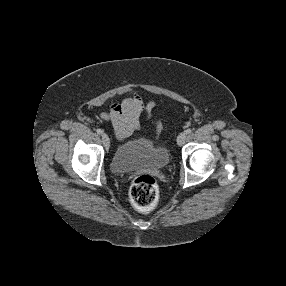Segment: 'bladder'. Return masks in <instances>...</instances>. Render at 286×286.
Masks as SVG:
<instances>
[{
  "mask_svg": "<svg viewBox=\"0 0 286 286\" xmlns=\"http://www.w3.org/2000/svg\"><path fill=\"white\" fill-rule=\"evenodd\" d=\"M169 163L170 154L163 143L139 135L117 146L111 158V169L122 174L141 168L163 169Z\"/></svg>",
  "mask_w": 286,
  "mask_h": 286,
  "instance_id": "obj_1",
  "label": "bladder"
}]
</instances>
